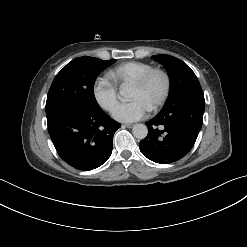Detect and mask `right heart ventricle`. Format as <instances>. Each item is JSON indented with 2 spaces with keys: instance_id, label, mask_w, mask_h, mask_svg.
<instances>
[{
  "instance_id": "e07e8e85",
  "label": "right heart ventricle",
  "mask_w": 247,
  "mask_h": 247,
  "mask_svg": "<svg viewBox=\"0 0 247 247\" xmlns=\"http://www.w3.org/2000/svg\"><path fill=\"white\" fill-rule=\"evenodd\" d=\"M152 68L153 66L149 63L129 61L113 68L110 76L115 82H134Z\"/></svg>"
}]
</instances>
